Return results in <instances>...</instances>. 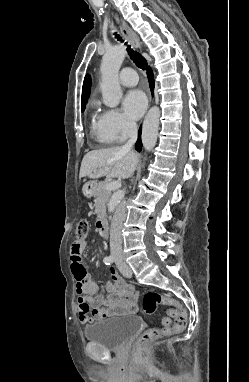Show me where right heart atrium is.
I'll return each mask as SVG.
<instances>
[{
	"label": "right heart atrium",
	"instance_id": "1",
	"mask_svg": "<svg viewBox=\"0 0 249 382\" xmlns=\"http://www.w3.org/2000/svg\"><path fill=\"white\" fill-rule=\"evenodd\" d=\"M105 134L114 142H120L136 131L135 122L118 109H106L100 115Z\"/></svg>",
	"mask_w": 249,
	"mask_h": 382
}]
</instances>
